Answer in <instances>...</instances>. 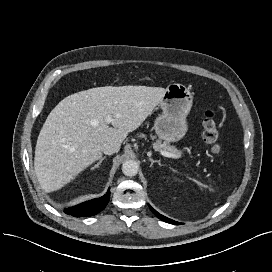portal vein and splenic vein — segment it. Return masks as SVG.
Segmentation results:
<instances>
[{
  "label": "portal vein and splenic vein",
  "instance_id": "18ae733b",
  "mask_svg": "<svg viewBox=\"0 0 272 272\" xmlns=\"http://www.w3.org/2000/svg\"><path fill=\"white\" fill-rule=\"evenodd\" d=\"M112 121V118L110 116H108L106 118V122L107 123H110ZM161 155L165 156V157H168V158H179L180 155H175V154H172L170 152H167V151H160Z\"/></svg>",
  "mask_w": 272,
  "mask_h": 272
}]
</instances>
